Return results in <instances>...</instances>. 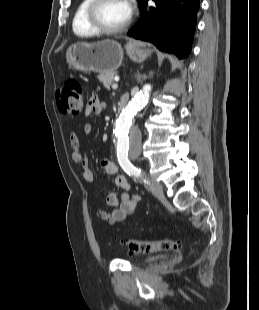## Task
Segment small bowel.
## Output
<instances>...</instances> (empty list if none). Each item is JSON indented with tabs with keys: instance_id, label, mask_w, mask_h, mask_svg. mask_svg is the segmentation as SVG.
Segmentation results:
<instances>
[{
	"instance_id": "1",
	"label": "small bowel",
	"mask_w": 259,
	"mask_h": 310,
	"mask_svg": "<svg viewBox=\"0 0 259 310\" xmlns=\"http://www.w3.org/2000/svg\"><path fill=\"white\" fill-rule=\"evenodd\" d=\"M105 110V104L99 99V97L93 94L87 103L86 112L95 115L101 114ZM84 132L86 134L91 132V126L86 125L84 127ZM70 145H71V159L74 163L80 165L81 175L84 181L87 183H92L94 181V175L91 171L86 155H84L82 150V145L80 138L77 133L73 132L70 135ZM101 168L107 174L113 175L115 178V184L119 188L123 189L124 192L118 195L116 192H110L106 197L107 205L113 207L112 212L106 210H97L96 214L98 218L108 224H115L122 222L127 218L134 215L136 212L138 197L131 196L128 193L130 189V184L128 180L118 174V168L116 164L110 159L101 160Z\"/></svg>"
}]
</instances>
